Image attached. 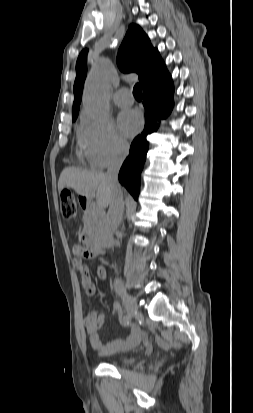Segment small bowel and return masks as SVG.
Returning <instances> with one entry per match:
<instances>
[{
	"mask_svg": "<svg viewBox=\"0 0 253 413\" xmlns=\"http://www.w3.org/2000/svg\"><path fill=\"white\" fill-rule=\"evenodd\" d=\"M75 258L73 260L74 268L80 273L82 279V285L88 295H93L96 291V287L91 280V275L88 266L85 263V259L91 258L88 252L80 245H76L73 248ZM99 279L104 280L107 275L106 268L103 265H99L96 270ZM114 312L120 314L121 308L116 303L114 304ZM104 322V315L98 311H92L87 314L84 319L85 330L89 338V343L92 349L99 355H109L121 351L129 350L135 347L142 338V331L138 326H131L128 334L124 338H115L107 343H103L99 337V330ZM122 325L126 326V323L120 318Z\"/></svg>",
	"mask_w": 253,
	"mask_h": 413,
	"instance_id": "1",
	"label": "small bowel"
}]
</instances>
